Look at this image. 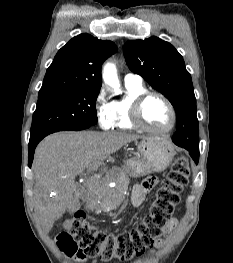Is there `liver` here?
<instances>
[{
    "label": "liver",
    "instance_id": "1",
    "mask_svg": "<svg viewBox=\"0 0 233 263\" xmlns=\"http://www.w3.org/2000/svg\"><path fill=\"white\" fill-rule=\"evenodd\" d=\"M144 136L127 132H59L45 137L33 161L35 208L49 232L78 197L75 177L102 165L122 146Z\"/></svg>",
    "mask_w": 233,
    "mask_h": 263
}]
</instances>
